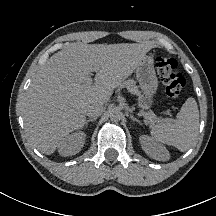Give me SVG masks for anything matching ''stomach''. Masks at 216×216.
<instances>
[{
    "label": "stomach",
    "mask_w": 216,
    "mask_h": 216,
    "mask_svg": "<svg viewBox=\"0 0 216 216\" xmlns=\"http://www.w3.org/2000/svg\"><path fill=\"white\" fill-rule=\"evenodd\" d=\"M135 74L146 107L150 108L154 105L155 95L159 85L153 57L145 56L144 60L136 68Z\"/></svg>",
    "instance_id": "0dacf381"
}]
</instances>
